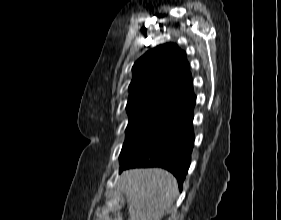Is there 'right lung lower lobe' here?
Instances as JSON below:
<instances>
[{"label": "right lung lower lobe", "instance_id": "obj_1", "mask_svg": "<svg viewBox=\"0 0 281 220\" xmlns=\"http://www.w3.org/2000/svg\"><path fill=\"white\" fill-rule=\"evenodd\" d=\"M195 101L178 112L129 162L120 168L162 167L174 174L179 188L188 172L194 146Z\"/></svg>", "mask_w": 281, "mask_h": 220}]
</instances>
